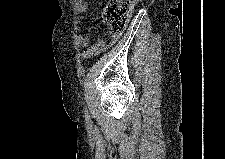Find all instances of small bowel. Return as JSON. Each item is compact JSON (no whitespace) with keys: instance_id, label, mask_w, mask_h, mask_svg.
<instances>
[{"instance_id":"1","label":"small bowel","mask_w":225,"mask_h":159,"mask_svg":"<svg viewBox=\"0 0 225 159\" xmlns=\"http://www.w3.org/2000/svg\"><path fill=\"white\" fill-rule=\"evenodd\" d=\"M87 7V2L80 0L76 3L75 11L77 14H82L87 10ZM74 39L78 46L87 47L86 51L83 53V57L91 58L112 46L116 42L117 36L109 34L105 38H102L95 44L89 46V29H86L83 33H76Z\"/></svg>"}]
</instances>
